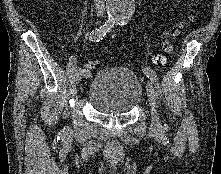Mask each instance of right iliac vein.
Returning <instances> with one entry per match:
<instances>
[{"label": "right iliac vein", "mask_w": 221, "mask_h": 174, "mask_svg": "<svg viewBox=\"0 0 221 174\" xmlns=\"http://www.w3.org/2000/svg\"><path fill=\"white\" fill-rule=\"evenodd\" d=\"M82 79V70L79 68L75 74V83L79 84Z\"/></svg>", "instance_id": "right-iliac-vein-1"}]
</instances>
